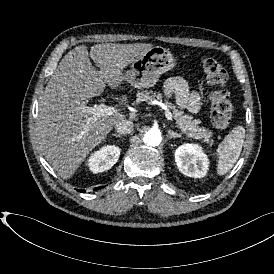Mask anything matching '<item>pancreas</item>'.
Returning <instances> with one entry per match:
<instances>
[{
    "label": "pancreas",
    "instance_id": "obj_1",
    "mask_svg": "<svg viewBox=\"0 0 274 274\" xmlns=\"http://www.w3.org/2000/svg\"><path fill=\"white\" fill-rule=\"evenodd\" d=\"M163 97L164 96L161 93H156L152 90H144L138 92L137 102H151L155 99H162ZM163 100L164 104L170 110H173L172 113L176 124L187 137L193 140H202L203 143H207L209 146L214 145V139L211 137V130H206L205 128L198 126L199 120H194L189 115H186L184 112L178 110L177 107L168 99L164 98Z\"/></svg>",
    "mask_w": 274,
    "mask_h": 274
}]
</instances>
